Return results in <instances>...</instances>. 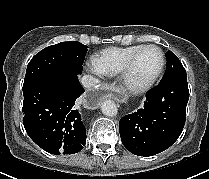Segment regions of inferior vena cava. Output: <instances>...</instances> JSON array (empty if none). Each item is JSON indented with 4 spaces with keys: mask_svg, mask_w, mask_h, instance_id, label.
Listing matches in <instances>:
<instances>
[{
    "mask_svg": "<svg viewBox=\"0 0 209 179\" xmlns=\"http://www.w3.org/2000/svg\"><path fill=\"white\" fill-rule=\"evenodd\" d=\"M81 83L85 88H92L97 85L99 81L91 75H84L81 79Z\"/></svg>",
    "mask_w": 209,
    "mask_h": 179,
    "instance_id": "1",
    "label": "inferior vena cava"
}]
</instances>
